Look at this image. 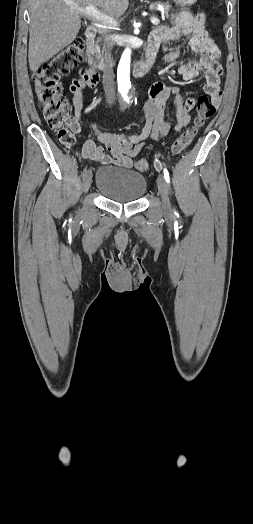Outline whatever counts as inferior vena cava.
Segmentation results:
<instances>
[{
  "label": "inferior vena cava",
  "mask_w": 253,
  "mask_h": 524,
  "mask_svg": "<svg viewBox=\"0 0 253 524\" xmlns=\"http://www.w3.org/2000/svg\"><path fill=\"white\" fill-rule=\"evenodd\" d=\"M107 50L105 49L106 54H107ZM102 82H103L104 90L106 92L107 102L109 104L114 103L115 101L114 74H113V71L108 67V65L103 72V81Z\"/></svg>",
  "instance_id": "1"
}]
</instances>
